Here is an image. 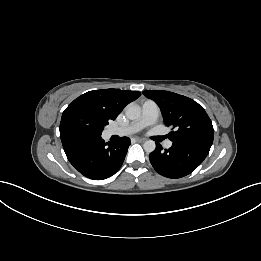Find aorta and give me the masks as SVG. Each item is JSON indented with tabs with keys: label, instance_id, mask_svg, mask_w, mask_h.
<instances>
[{
	"label": "aorta",
	"instance_id": "762f6f07",
	"mask_svg": "<svg viewBox=\"0 0 261 261\" xmlns=\"http://www.w3.org/2000/svg\"><path fill=\"white\" fill-rule=\"evenodd\" d=\"M125 114L130 120H136L141 116V107L137 104L130 103L126 106ZM143 148L146 152L151 153L155 150L156 144L153 140H147L143 144Z\"/></svg>",
	"mask_w": 261,
	"mask_h": 261
}]
</instances>
